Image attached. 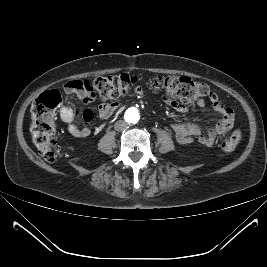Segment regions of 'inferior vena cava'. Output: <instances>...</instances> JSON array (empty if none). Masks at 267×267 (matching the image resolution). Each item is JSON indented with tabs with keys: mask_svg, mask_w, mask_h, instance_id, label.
I'll use <instances>...</instances> for the list:
<instances>
[{
	"mask_svg": "<svg viewBox=\"0 0 267 267\" xmlns=\"http://www.w3.org/2000/svg\"><path fill=\"white\" fill-rule=\"evenodd\" d=\"M126 127H127V123L124 120H119L114 124V129L116 131H122L126 129Z\"/></svg>",
	"mask_w": 267,
	"mask_h": 267,
	"instance_id": "inferior-vena-cava-1",
	"label": "inferior vena cava"
}]
</instances>
